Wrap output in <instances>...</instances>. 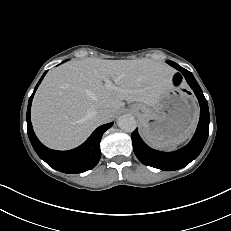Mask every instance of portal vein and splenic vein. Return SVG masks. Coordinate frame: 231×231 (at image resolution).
I'll return each mask as SVG.
<instances>
[{
  "instance_id": "18ae733b",
  "label": "portal vein and splenic vein",
  "mask_w": 231,
  "mask_h": 231,
  "mask_svg": "<svg viewBox=\"0 0 231 231\" xmlns=\"http://www.w3.org/2000/svg\"><path fill=\"white\" fill-rule=\"evenodd\" d=\"M105 84H106L108 87H111V82H110L109 79H106V80H105Z\"/></svg>"
}]
</instances>
